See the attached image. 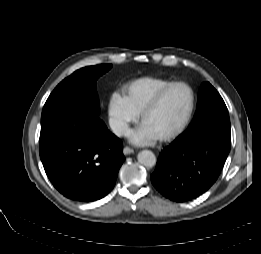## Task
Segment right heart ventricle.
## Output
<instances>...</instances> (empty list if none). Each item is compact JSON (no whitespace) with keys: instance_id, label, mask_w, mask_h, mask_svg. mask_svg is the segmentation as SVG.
Instances as JSON below:
<instances>
[{"instance_id":"right-heart-ventricle-1","label":"right heart ventricle","mask_w":261,"mask_h":254,"mask_svg":"<svg viewBox=\"0 0 261 254\" xmlns=\"http://www.w3.org/2000/svg\"><path fill=\"white\" fill-rule=\"evenodd\" d=\"M170 83L167 80L149 77L131 83L127 88L126 95L133 110L139 114L159 91Z\"/></svg>"}]
</instances>
